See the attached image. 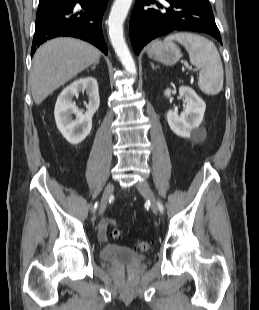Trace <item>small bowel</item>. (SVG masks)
Listing matches in <instances>:
<instances>
[{
    "instance_id": "small-bowel-1",
    "label": "small bowel",
    "mask_w": 259,
    "mask_h": 310,
    "mask_svg": "<svg viewBox=\"0 0 259 310\" xmlns=\"http://www.w3.org/2000/svg\"><path fill=\"white\" fill-rule=\"evenodd\" d=\"M98 239L102 242H105L108 240L107 225L104 221L100 222L98 226Z\"/></svg>"
}]
</instances>
